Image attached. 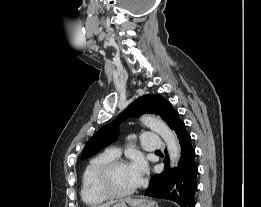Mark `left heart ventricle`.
I'll return each instance as SVG.
<instances>
[{
    "instance_id": "obj_1",
    "label": "left heart ventricle",
    "mask_w": 261,
    "mask_h": 207,
    "mask_svg": "<svg viewBox=\"0 0 261 207\" xmlns=\"http://www.w3.org/2000/svg\"><path fill=\"white\" fill-rule=\"evenodd\" d=\"M111 185L116 191H128L135 187V181L129 165L117 167L111 177Z\"/></svg>"
}]
</instances>
